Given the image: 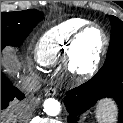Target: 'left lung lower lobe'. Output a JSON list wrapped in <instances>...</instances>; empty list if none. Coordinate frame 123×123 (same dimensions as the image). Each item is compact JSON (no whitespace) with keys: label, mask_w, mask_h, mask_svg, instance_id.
I'll return each instance as SVG.
<instances>
[{"label":"left lung lower lobe","mask_w":123,"mask_h":123,"mask_svg":"<svg viewBox=\"0 0 123 123\" xmlns=\"http://www.w3.org/2000/svg\"><path fill=\"white\" fill-rule=\"evenodd\" d=\"M104 97L115 99L119 107L118 123H123V70L109 74L100 69L88 82L68 91L64 98L68 123H77L82 113Z\"/></svg>","instance_id":"1"}]
</instances>
